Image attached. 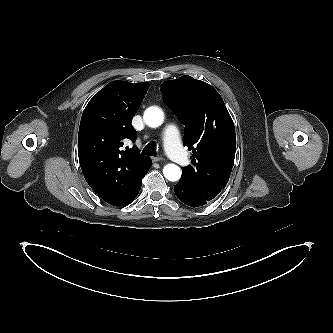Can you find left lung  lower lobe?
<instances>
[{
	"label": "left lung lower lobe",
	"instance_id": "1",
	"mask_svg": "<svg viewBox=\"0 0 333 333\" xmlns=\"http://www.w3.org/2000/svg\"><path fill=\"white\" fill-rule=\"evenodd\" d=\"M174 191L180 201L191 207H199L211 202L208 197L190 188L181 180L174 186Z\"/></svg>",
	"mask_w": 333,
	"mask_h": 333
}]
</instances>
